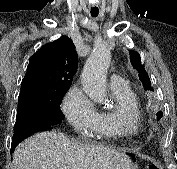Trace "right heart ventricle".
<instances>
[{
    "label": "right heart ventricle",
    "instance_id": "right-heart-ventricle-1",
    "mask_svg": "<svg viewBox=\"0 0 177 169\" xmlns=\"http://www.w3.org/2000/svg\"><path fill=\"white\" fill-rule=\"evenodd\" d=\"M114 106L97 111L95 132L100 137L117 139L138 134L142 128V110L135 92L127 85L112 90Z\"/></svg>",
    "mask_w": 177,
    "mask_h": 169
}]
</instances>
